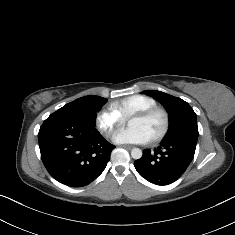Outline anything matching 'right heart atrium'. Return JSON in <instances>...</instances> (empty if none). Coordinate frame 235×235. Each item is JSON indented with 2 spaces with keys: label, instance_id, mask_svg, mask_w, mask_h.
<instances>
[{
  "label": "right heart atrium",
  "instance_id": "obj_1",
  "mask_svg": "<svg viewBox=\"0 0 235 235\" xmlns=\"http://www.w3.org/2000/svg\"><path fill=\"white\" fill-rule=\"evenodd\" d=\"M94 123L96 129L108 137L116 129L123 128L126 120L114 110L112 104H108L96 113Z\"/></svg>",
  "mask_w": 235,
  "mask_h": 235
}]
</instances>
